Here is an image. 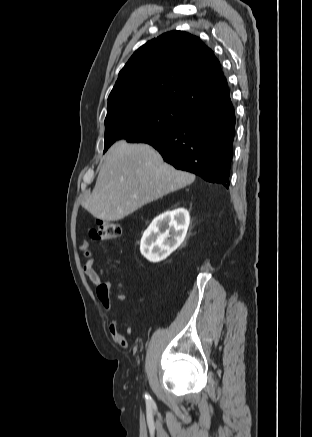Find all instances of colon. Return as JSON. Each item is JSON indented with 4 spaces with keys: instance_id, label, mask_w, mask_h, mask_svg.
<instances>
[{
    "instance_id": "1",
    "label": "colon",
    "mask_w": 312,
    "mask_h": 437,
    "mask_svg": "<svg viewBox=\"0 0 312 437\" xmlns=\"http://www.w3.org/2000/svg\"><path fill=\"white\" fill-rule=\"evenodd\" d=\"M90 235L93 239L99 241L115 240L121 235V227L115 222L99 219L90 231Z\"/></svg>"
}]
</instances>
